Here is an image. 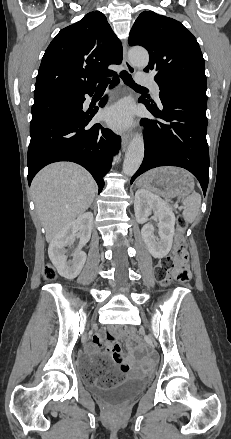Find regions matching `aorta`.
<instances>
[{
	"label": "aorta",
	"mask_w": 231,
	"mask_h": 439,
	"mask_svg": "<svg viewBox=\"0 0 231 439\" xmlns=\"http://www.w3.org/2000/svg\"><path fill=\"white\" fill-rule=\"evenodd\" d=\"M130 61L139 68H145L149 63V54L143 48H132L129 51ZM144 157V141L141 135H136L130 142L123 162V173L132 176L139 169Z\"/></svg>",
	"instance_id": "aorta-1"
}]
</instances>
